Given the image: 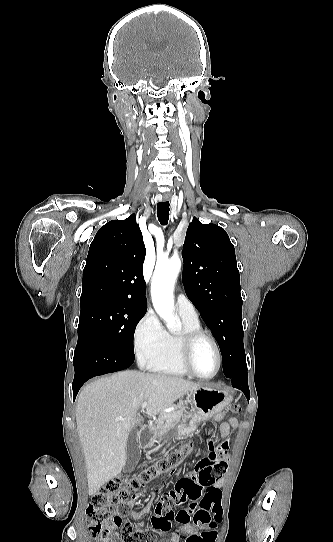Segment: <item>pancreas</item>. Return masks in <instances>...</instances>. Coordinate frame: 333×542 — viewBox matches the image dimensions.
Listing matches in <instances>:
<instances>
[{"label": "pancreas", "instance_id": "pancreas-1", "mask_svg": "<svg viewBox=\"0 0 333 542\" xmlns=\"http://www.w3.org/2000/svg\"><path fill=\"white\" fill-rule=\"evenodd\" d=\"M191 418V414L186 412L184 404H177L173 412H162L158 420H156L155 438L157 442H162L168 432L174 430L176 424H179L181 420Z\"/></svg>", "mask_w": 333, "mask_h": 542}]
</instances>
